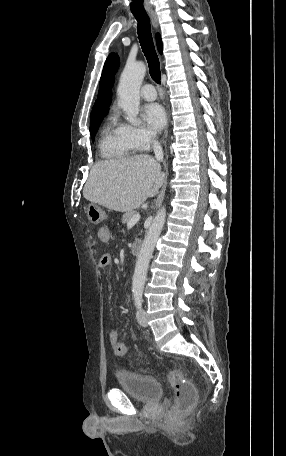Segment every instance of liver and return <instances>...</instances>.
Masks as SVG:
<instances>
[{
  "label": "liver",
  "instance_id": "obj_1",
  "mask_svg": "<svg viewBox=\"0 0 286 456\" xmlns=\"http://www.w3.org/2000/svg\"><path fill=\"white\" fill-rule=\"evenodd\" d=\"M164 174L146 154L97 162L91 169L83 196L110 210L129 212L154 197Z\"/></svg>",
  "mask_w": 286,
  "mask_h": 456
}]
</instances>
